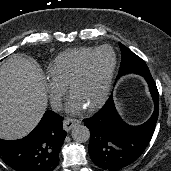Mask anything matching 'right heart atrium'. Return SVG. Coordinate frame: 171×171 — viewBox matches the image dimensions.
Returning <instances> with one entry per match:
<instances>
[{"instance_id":"right-heart-atrium-1","label":"right heart atrium","mask_w":171,"mask_h":171,"mask_svg":"<svg viewBox=\"0 0 171 171\" xmlns=\"http://www.w3.org/2000/svg\"><path fill=\"white\" fill-rule=\"evenodd\" d=\"M46 91L49 95L50 102L55 109H59L62 104V100L65 96L67 87L58 83L52 79L49 75L45 81Z\"/></svg>"}]
</instances>
